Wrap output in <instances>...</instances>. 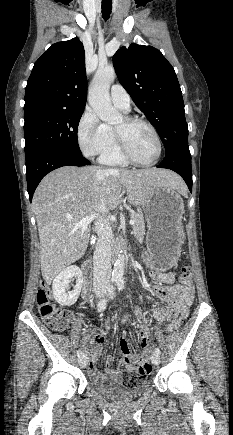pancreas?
<instances>
[{
  "mask_svg": "<svg viewBox=\"0 0 233 435\" xmlns=\"http://www.w3.org/2000/svg\"><path fill=\"white\" fill-rule=\"evenodd\" d=\"M131 219L135 220V224L133 225V234L137 240H143V236L145 234V223L143 219V215L140 213H133L130 215Z\"/></svg>",
  "mask_w": 233,
  "mask_h": 435,
  "instance_id": "pancreas-1",
  "label": "pancreas"
}]
</instances>
